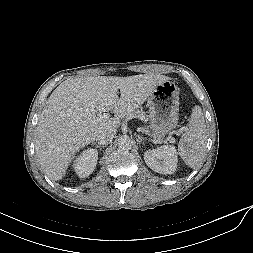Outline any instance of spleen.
Returning a JSON list of instances; mask_svg holds the SVG:
<instances>
[{"label":"spleen","mask_w":253,"mask_h":253,"mask_svg":"<svg viewBox=\"0 0 253 253\" xmlns=\"http://www.w3.org/2000/svg\"><path fill=\"white\" fill-rule=\"evenodd\" d=\"M206 124L200 106L193 108L189 124L178 146V153L191 168H199L203 164L206 151Z\"/></svg>","instance_id":"1"}]
</instances>
